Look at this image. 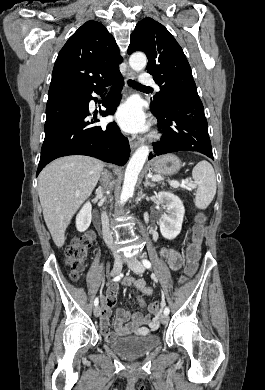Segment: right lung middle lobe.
I'll use <instances>...</instances> for the list:
<instances>
[{"instance_id": "1", "label": "right lung middle lobe", "mask_w": 265, "mask_h": 390, "mask_svg": "<svg viewBox=\"0 0 265 390\" xmlns=\"http://www.w3.org/2000/svg\"><path fill=\"white\" fill-rule=\"evenodd\" d=\"M77 96H80V95H77ZM77 96H72V97H77ZM68 98H70V97H68Z\"/></svg>"}]
</instances>
